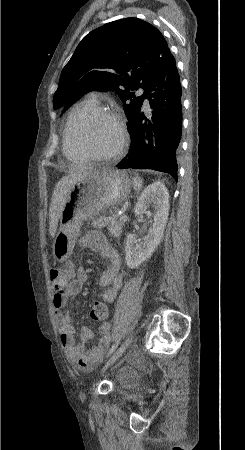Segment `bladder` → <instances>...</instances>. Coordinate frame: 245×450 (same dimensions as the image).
Here are the masks:
<instances>
[{
	"label": "bladder",
	"instance_id": "bladder-1",
	"mask_svg": "<svg viewBox=\"0 0 245 450\" xmlns=\"http://www.w3.org/2000/svg\"><path fill=\"white\" fill-rule=\"evenodd\" d=\"M132 375L127 369H120L116 372L115 381L119 384H126L131 381Z\"/></svg>",
	"mask_w": 245,
	"mask_h": 450
}]
</instances>
